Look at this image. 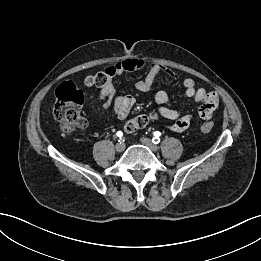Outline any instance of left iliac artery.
Listing matches in <instances>:
<instances>
[{"instance_id": "44dca946", "label": "left iliac artery", "mask_w": 261, "mask_h": 261, "mask_svg": "<svg viewBox=\"0 0 261 261\" xmlns=\"http://www.w3.org/2000/svg\"><path fill=\"white\" fill-rule=\"evenodd\" d=\"M160 135H161L160 132H158V131L154 132V137L152 139V142L154 144H158L160 142V138H159Z\"/></svg>"}]
</instances>
